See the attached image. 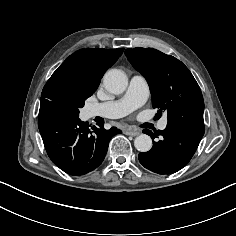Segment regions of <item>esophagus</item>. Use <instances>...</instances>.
Wrapping results in <instances>:
<instances>
[{
	"label": "esophagus",
	"instance_id": "obj_1",
	"mask_svg": "<svg viewBox=\"0 0 236 236\" xmlns=\"http://www.w3.org/2000/svg\"><path fill=\"white\" fill-rule=\"evenodd\" d=\"M125 134L130 135V136H138L140 132L139 131H126Z\"/></svg>",
	"mask_w": 236,
	"mask_h": 236
}]
</instances>
